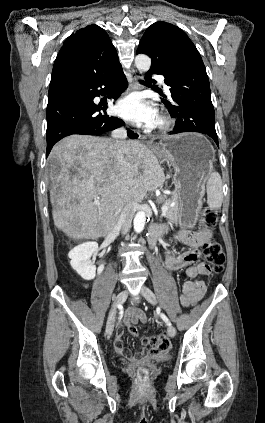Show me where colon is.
Segmentation results:
<instances>
[{
    "instance_id": "5ec220e1",
    "label": "colon",
    "mask_w": 265,
    "mask_h": 423,
    "mask_svg": "<svg viewBox=\"0 0 265 423\" xmlns=\"http://www.w3.org/2000/svg\"><path fill=\"white\" fill-rule=\"evenodd\" d=\"M217 221L216 212L212 209L206 208L202 212L201 223L206 228H212ZM203 254L205 261L209 263L215 273H220L223 270L225 263V254L220 243L214 240H208L203 244ZM129 331L136 335L137 328L135 325H129ZM148 347V352L152 357H161L170 349V340L165 335H153L143 340ZM148 376L145 368H139L137 377L144 381Z\"/></svg>"
}]
</instances>
